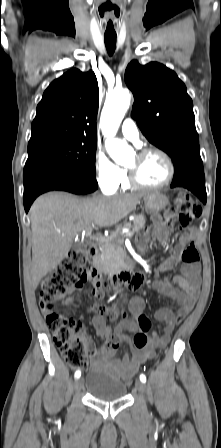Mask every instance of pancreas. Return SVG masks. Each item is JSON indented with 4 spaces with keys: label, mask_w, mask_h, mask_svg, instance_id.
<instances>
[{
    "label": "pancreas",
    "mask_w": 221,
    "mask_h": 448,
    "mask_svg": "<svg viewBox=\"0 0 221 448\" xmlns=\"http://www.w3.org/2000/svg\"><path fill=\"white\" fill-rule=\"evenodd\" d=\"M144 215L135 216L133 221V233L138 232L145 225ZM124 239L122 233L115 232L102 245L101 254L99 256L100 268L109 274L115 273L124 265L126 254L123 248Z\"/></svg>",
    "instance_id": "obj_1"
}]
</instances>
